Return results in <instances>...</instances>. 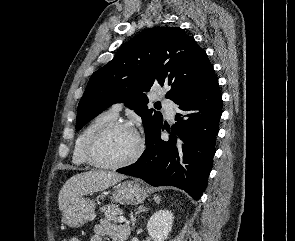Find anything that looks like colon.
Instances as JSON below:
<instances>
[{"label":"colon","instance_id":"5ec220e1","mask_svg":"<svg viewBox=\"0 0 295 241\" xmlns=\"http://www.w3.org/2000/svg\"><path fill=\"white\" fill-rule=\"evenodd\" d=\"M70 241H80L79 238H72Z\"/></svg>","mask_w":295,"mask_h":241}]
</instances>
